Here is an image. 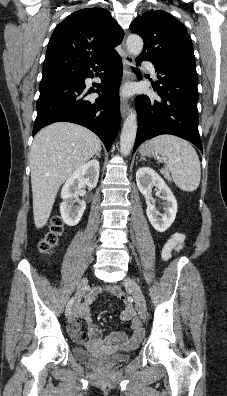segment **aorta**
<instances>
[{
  "instance_id": "1",
  "label": "aorta",
  "mask_w": 227,
  "mask_h": 396,
  "mask_svg": "<svg viewBox=\"0 0 227 396\" xmlns=\"http://www.w3.org/2000/svg\"><path fill=\"white\" fill-rule=\"evenodd\" d=\"M126 47L130 54L138 56L143 49V40L139 35L131 34L126 40ZM137 134V114L130 110L123 124L120 136V152L127 156L133 148Z\"/></svg>"
}]
</instances>
